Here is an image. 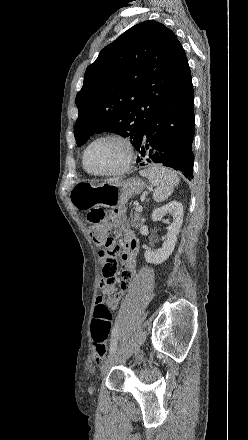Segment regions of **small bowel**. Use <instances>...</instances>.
<instances>
[{
	"mask_svg": "<svg viewBox=\"0 0 248 440\" xmlns=\"http://www.w3.org/2000/svg\"><path fill=\"white\" fill-rule=\"evenodd\" d=\"M114 223L122 228L125 236V248L121 263L117 257H104L101 261V282L100 287L108 297L99 296L96 299L99 303H104L109 309L116 310L119 301L123 297L124 291L129 287L132 274L136 268V255L139 249V242L127 228L124 213L122 210L115 211L113 214ZM121 291L115 293L118 289Z\"/></svg>",
	"mask_w": 248,
	"mask_h": 440,
	"instance_id": "c3829d8e",
	"label": "small bowel"
}]
</instances>
